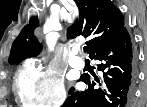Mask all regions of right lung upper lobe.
Masks as SVG:
<instances>
[{"label": "right lung upper lobe", "instance_id": "1", "mask_svg": "<svg viewBox=\"0 0 147 107\" xmlns=\"http://www.w3.org/2000/svg\"><path fill=\"white\" fill-rule=\"evenodd\" d=\"M79 9V19L67 30V38L78 35L90 37L86 42L89 56L97 49L113 40L125 27L124 17L111 0H75ZM39 23L36 18L24 26L14 40L8 62L19 64L26 58L37 56L41 44L34 36Z\"/></svg>", "mask_w": 147, "mask_h": 107}]
</instances>
